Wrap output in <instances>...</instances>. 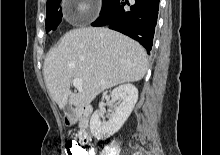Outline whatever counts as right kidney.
Listing matches in <instances>:
<instances>
[{
  "mask_svg": "<svg viewBox=\"0 0 220 155\" xmlns=\"http://www.w3.org/2000/svg\"><path fill=\"white\" fill-rule=\"evenodd\" d=\"M138 100V90L132 84H124L111 93L112 103H116L115 113L109 121H101V114L96 110L90 120V131L97 139L108 138L116 133L130 116Z\"/></svg>",
  "mask_w": 220,
  "mask_h": 155,
  "instance_id": "right-kidney-1",
  "label": "right kidney"
}]
</instances>
